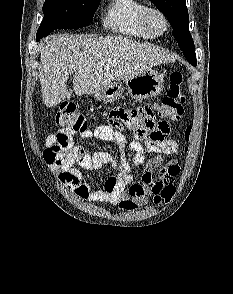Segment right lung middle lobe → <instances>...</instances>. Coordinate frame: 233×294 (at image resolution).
<instances>
[{
    "mask_svg": "<svg viewBox=\"0 0 233 294\" xmlns=\"http://www.w3.org/2000/svg\"><path fill=\"white\" fill-rule=\"evenodd\" d=\"M101 0H46L36 40L56 29L82 28L90 24Z\"/></svg>",
    "mask_w": 233,
    "mask_h": 294,
    "instance_id": "right-lung-middle-lobe-1",
    "label": "right lung middle lobe"
}]
</instances>
